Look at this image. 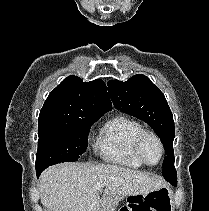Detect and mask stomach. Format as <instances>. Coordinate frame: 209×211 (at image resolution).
Instances as JSON below:
<instances>
[{
	"label": "stomach",
	"mask_w": 209,
	"mask_h": 211,
	"mask_svg": "<svg viewBox=\"0 0 209 211\" xmlns=\"http://www.w3.org/2000/svg\"><path fill=\"white\" fill-rule=\"evenodd\" d=\"M135 196H139V194H138V195H132V196H130V197H135ZM130 197H129V198H130Z\"/></svg>",
	"instance_id": "stomach-1"
}]
</instances>
